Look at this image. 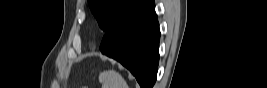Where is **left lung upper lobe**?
Listing matches in <instances>:
<instances>
[{
  "label": "left lung upper lobe",
  "instance_id": "1",
  "mask_svg": "<svg viewBox=\"0 0 267 88\" xmlns=\"http://www.w3.org/2000/svg\"><path fill=\"white\" fill-rule=\"evenodd\" d=\"M142 0H89V7L99 27L107 32L130 8Z\"/></svg>",
  "mask_w": 267,
  "mask_h": 88
}]
</instances>
